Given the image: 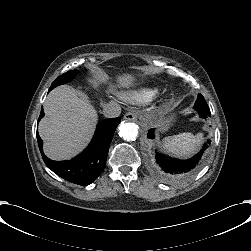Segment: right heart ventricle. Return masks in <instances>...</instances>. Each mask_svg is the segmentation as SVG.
<instances>
[{"mask_svg":"<svg viewBox=\"0 0 251 251\" xmlns=\"http://www.w3.org/2000/svg\"><path fill=\"white\" fill-rule=\"evenodd\" d=\"M158 91V87L153 83H142L135 88L122 92L120 96L128 102L136 105H144L151 102Z\"/></svg>","mask_w":251,"mask_h":251,"instance_id":"right-heart-ventricle-1","label":"right heart ventricle"}]
</instances>
